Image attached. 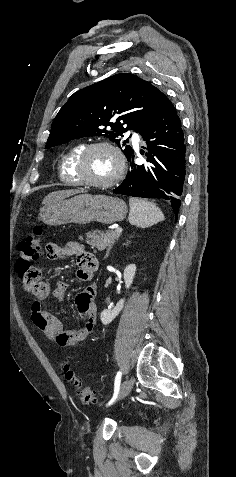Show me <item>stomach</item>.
I'll return each mask as SVG.
<instances>
[{
    "mask_svg": "<svg viewBox=\"0 0 236 477\" xmlns=\"http://www.w3.org/2000/svg\"><path fill=\"white\" fill-rule=\"evenodd\" d=\"M126 214L127 206L119 198L83 193L44 206L40 210V220L54 226L68 223L85 225L93 221L108 225L124 220Z\"/></svg>",
    "mask_w": 236,
    "mask_h": 477,
    "instance_id": "obj_1",
    "label": "stomach"
}]
</instances>
